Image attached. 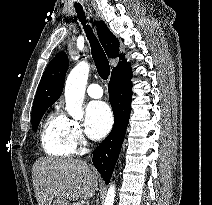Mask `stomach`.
Segmentation results:
<instances>
[{
    "label": "stomach",
    "mask_w": 212,
    "mask_h": 205,
    "mask_svg": "<svg viewBox=\"0 0 212 205\" xmlns=\"http://www.w3.org/2000/svg\"><path fill=\"white\" fill-rule=\"evenodd\" d=\"M52 205H70L66 199H56Z\"/></svg>",
    "instance_id": "stomach-1"
}]
</instances>
